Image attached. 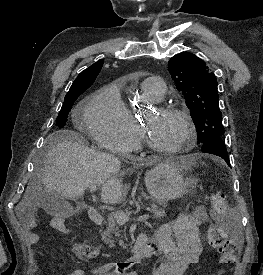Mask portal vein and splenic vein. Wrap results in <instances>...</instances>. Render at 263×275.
I'll list each match as a JSON object with an SVG mask.
<instances>
[{"label": "portal vein and splenic vein", "mask_w": 263, "mask_h": 275, "mask_svg": "<svg viewBox=\"0 0 263 275\" xmlns=\"http://www.w3.org/2000/svg\"><path fill=\"white\" fill-rule=\"evenodd\" d=\"M90 191L91 192H94L96 190V187L95 186H90ZM115 218H116V221L119 223V224H125L126 222L129 221V215L127 213H124L122 211L120 212H117L116 215H115ZM149 218V214H145V215H142V216H139L137 218L138 221H144V220H147Z\"/></svg>", "instance_id": "1"}]
</instances>
